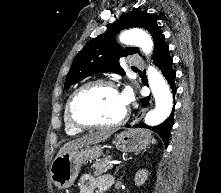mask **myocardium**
I'll use <instances>...</instances> for the list:
<instances>
[{
	"label": "myocardium",
	"mask_w": 221,
	"mask_h": 193,
	"mask_svg": "<svg viewBox=\"0 0 221 193\" xmlns=\"http://www.w3.org/2000/svg\"><path fill=\"white\" fill-rule=\"evenodd\" d=\"M94 86H106V87H109L111 89H115L118 91L117 85L113 81L106 80V79H95V80H91V81H88V82L82 84L80 87H78L73 92V94L70 96V98L67 102V105H66L67 115H68L70 122L74 126L80 128V129H111V128H117V127L123 125L129 117L130 112H129L128 108H126V111L123 114V116L114 122H107V123H104V122H82L77 119V117L74 114V105H75L77 98L86 89H88L90 87H94Z\"/></svg>",
	"instance_id": "f54148a6"
}]
</instances>
